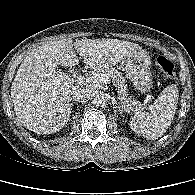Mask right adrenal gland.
I'll return each instance as SVG.
<instances>
[{
  "instance_id": "1",
  "label": "right adrenal gland",
  "mask_w": 195,
  "mask_h": 195,
  "mask_svg": "<svg viewBox=\"0 0 195 195\" xmlns=\"http://www.w3.org/2000/svg\"><path fill=\"white\" fill-rule=\"evenodd\" d=\"M71 107H73V104H71ZM71 110H72V108H71Z\"/></svg>"
}]
</instances>
